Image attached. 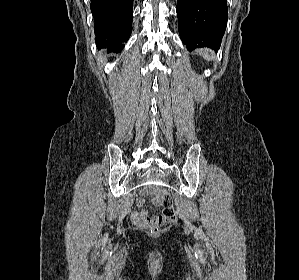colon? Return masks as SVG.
Instances as JSON below:
<instances>
[{"label": "colon", "instance_id": "colon-1", "mask_svg": "<svg viewBox=\"0 0 299 280\" xmlns=\"http://www.w3.org/2000/svg\"><path fill=\"white\" fill-rule=\"evenodd\" d=\"M154 203L163 207L162 213L151 218L147 224L149 231L156 234L161 227L174 223L176 221V214L171 198L165 193H158L154 198Z\"/></svg>", "mask_w": 299, "mask_h": 280}]
</instances>
